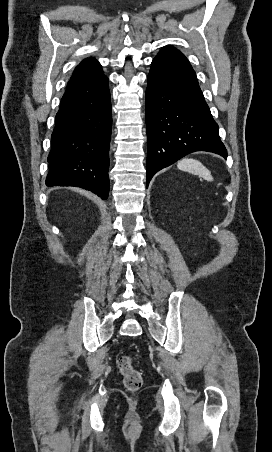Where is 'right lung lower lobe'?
Instances as JSON below:
<instances>
[{
	"instance_id": "1",
	"label": "right lung lower lobe",
	"mask_w": 272,
	"mask_h": 452,
	"mask_svg": "<svg viewBox=\"0 0 272 452\" xmlns=\"http://www.w3.org/2000/svg\"><path fill=\"white\" fill-rule=\"evenodd\" d=\"M111 98L106 76L66 90L56 115L47 186H77L107 199Z\"/></svg>"
}]
</instances>
